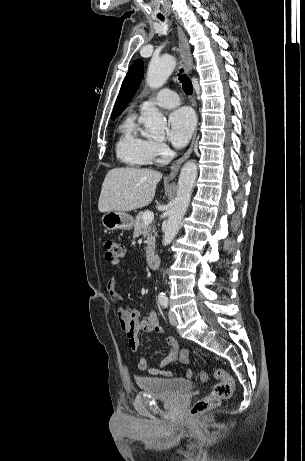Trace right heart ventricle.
<instances>
[{"label": "right heart ventricle", "instance_id": "e07e8e85", "mask_svg": "<svg viewBox=\"0 0 305 461\" xmlns=\"http://www.w3.org/2000/svg\"><path fill=\"white\" fill-rule=\"evenodd\" d=\"M116 153L122 162L131 167L145 166L154 160L153 140L136 123L134 114L128 115L120 125Z\"/></svg>", "mask_w": 305, "mask_h": 461}]
</instances>
